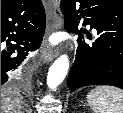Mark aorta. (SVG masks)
I'll return each mask as SVG.
<instances>
[{
	"label": "aorta",
	"instance_id": "aorta-1",
	"mask_svg": "<svg viewBox=\"0 0 123 113\" xmlns=\"http://www.w3.org/2000/svg\"><path fill=\"white\" fill-rule=\"evenodd\" d=\"M69 69V59L67 55H61L54 61L49 69L47 76V85L54 90L64 80Z\"/></svg>",
	"mask_w": 123,
	"mask_h": 113
}]
</instances>
